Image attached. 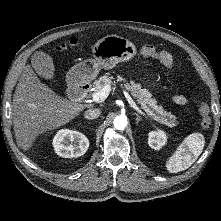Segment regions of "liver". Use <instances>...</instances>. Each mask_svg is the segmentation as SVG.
<instances>
[{"label": "liver", "instance_id": "obj_1", "mask_svg": "<svg viewBox=\"0 0 221 221\" xmlns=\"http://www.w3.org/2000/svg\"><path fill=\"white\" fill-rule=\"evenodd\" d=\"M51 64L52 58L42 51L31 58V66L41 77H45ZM31 66L27 65L21 74L12 105L15 138L17 145L25 151L39 135L65 126L86 108L41 83Z\"/></svg>", "mask_w": 221, "mask_h": 221}]
</instances>
